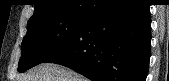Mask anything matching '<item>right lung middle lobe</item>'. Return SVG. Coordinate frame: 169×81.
<instances>
[{"label": "right lung middle lobe", "mask_w": 169, "mask_h": 81, "mask_svg": "<svg viewBox=\"0 0 169 81\" xmlns=\"http://www.w3.org/2000/svg\"><path fill=\"white\" fill-rule=\"evenodd\" d=\"M88 17L49 16L27 25L21 45L18 71L25 72L67 44L87 22Z\"/></svg>", "instance_id": "obj_1"}]
</instances>
